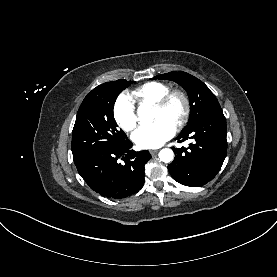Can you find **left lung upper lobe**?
Wrapping results in <instances>:
<instances>
[{"instance_id": "obj_1", "label": "left lung upper lobe", "mask_w": 277, "mask_h": 277, "mask_svg": "<svg viewBox=\"0 0 277 277\" xmlns=\"http://www.w3.org/2000/svg\"><path fill=\"white\" fill-rule=\"evenodd\" d=\"M152 79L175 81L187 91L190 100V117L183 131L189 130L206 115L221 110L215 95L210 89L202 81L186 72L173 71L155 76Z\"/></svg>"}]
</instances>
